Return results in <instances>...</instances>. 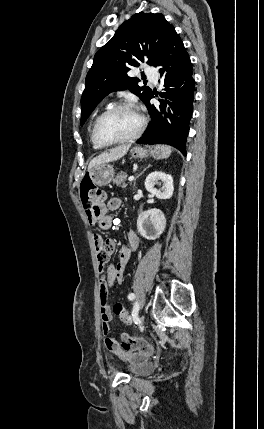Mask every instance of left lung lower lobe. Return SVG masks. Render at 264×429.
Returning a JSON list of instances; mask_svg holds the SVG:
<instances>
[{"instance_id":"1","label":"left lung lower lobe","mask_w":264,"mask_h":429,"mask_svg":"<svg viewBox=\"0 0 264 429\" xmlns=\"http://www.w3.org/2000/svg\"><path fill=\"white\" fill-rule=\"evenodd\" d=\"M157 66L164 76V92L161 105L155 107L150 103L152 92L146 103L152 122L146 133L138 139L142 144H168L186 155V141L189 133V122L193 111L195 81L192 77V64L184 44L172 29L163 44Z\"/></svg>"}]
</instances>
